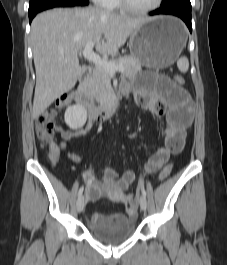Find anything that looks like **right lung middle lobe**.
<instances>
[{"mask_svg":"<svg viewBox=\"0 0 227 265\" xmlns=\"http://www.w3.org/2000/svg\"><path fill=\"white\" fill-rule=\"evenodd\" d=\"M51 0H30L29 12L35 11L40 8L43 4Z\"/></svg>","mask_w":227,"mask_h":265,"instance_id":"right-lung-middle-lobe-1","label":"right lung middle lobe"}]
</instances>
